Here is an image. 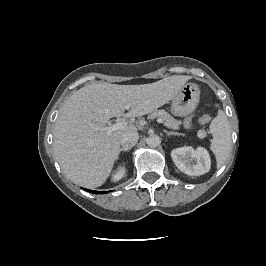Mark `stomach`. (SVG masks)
Instances as JSON below:
<instances>
[{
  "instance_id": "stomach-1",
  "label": "stomach",
  "mask_w": 266,
  "mask_h": 266,
  "mask_svg": "<svg viewBox=\"0 0 266 266\" xmlns=\"http://www.w3.org/2000/svg\"><path fill=\"white\" fill-rule=\"evenodd\" d=\"M200 90L194 83H186L172 98L171 112L176 116H188L193 113L199 103Z\"/></svg>"
}]
</instances>
